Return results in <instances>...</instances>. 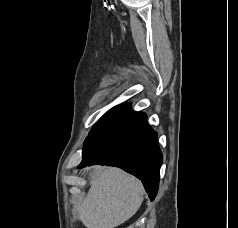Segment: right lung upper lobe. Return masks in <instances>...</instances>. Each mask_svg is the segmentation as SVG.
<instances>
[{
	"label": "right lung upper lobe",
	"instance_id": "right-lung-upper-lobe-1",
	"mask_svg": "<svg viewBox=\"0 0 238 228\" xmlns=\"http://www.w3.org/2000/svg\"><path fill=\"white\" fill-rule=\"evenodd\" d=\"M130 112V104L117 105L112 108L104 117L116 116L120 118L121 116L128 114Z\"/></svg>",
	"mask_w": 238,
	"mask_h": 228
}]
</instances>
